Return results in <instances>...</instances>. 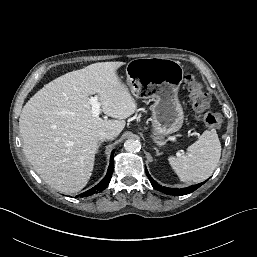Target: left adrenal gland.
Masks as SVG:
<instances>
[{"label":"left adrenal gland","mask_w":257,"mask_h":257,"mask_svg":"<svg viewBox=\"0 0 257 257\" xmlns=\"http://www.w3.org/2000/svg\"><path fill=\"white\" fill-rule=\"evenodd\" d=\"M156 150L157 155H160L159 150L157 148H154Z\"/></svg>","instance_id":"1"}]
</instances>
